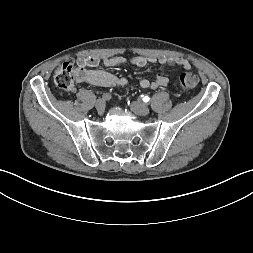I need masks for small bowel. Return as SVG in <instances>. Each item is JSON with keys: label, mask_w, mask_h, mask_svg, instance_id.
I'll list each match as a JSON object with an SVG mask.
<instances>
[{"label": "small bowel", "mask_w": 253, "mask_h": 253, "mask_svg": "<svg viewBox=\"0 0 253 253\" xmlns=\"http://www.w3.org/2000/svg\"><path fill=\"white\" fill-rule=\"evenodd\" d=\"M128 62L124 56H115L111 58H105L100 62V59L93 56L80 57L78 59L79 67L76 71L77 81L80 83H88L94 86L100 87H124L130 84L126 78L117 77L111 72L107 71V68L117 67L124 65ZM129 62L138 68H143L148 64L158 62L160 65H176L185 70H189L191 65L189 61L181 57H161L159 59L155 57H133ZM97 69H96V68ZM169 79L162 73L157 74L154 80L141 79L133 85L141 88L157 89L167 86Z\"/></svg>", "instance_id": "1"}]
</instances>
